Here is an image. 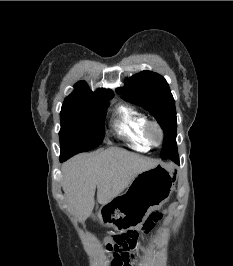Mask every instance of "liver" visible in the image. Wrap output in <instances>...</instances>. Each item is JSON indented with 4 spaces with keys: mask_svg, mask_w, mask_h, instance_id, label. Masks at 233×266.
I'll use <instances>...</instances> for the list:
<instances>
[{
    "mask_svg": "<svg viewBox=\"0 0 233 266\" xmlns=\"http://www.w3.org/2000/svg\"><path fill=\"white\" fill-rule=\"evenodd\" d=\"M159 161L118 147L79 154L62 166V186L71 212L80 221L92 214L97 200L106 205L141 172Z\"/></svg>",
    "mask_w": 233,
    "mask_h": 266,
    "instance_id": "1",
    "label": "liver"
}]
</instances>
